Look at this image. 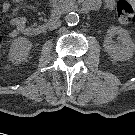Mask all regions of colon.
Instances as JSON below:
<instances>
[{
	"instance_id": "obj_1",
	"label": "colon",
	"mask_w": 135,
	"mask_h": 135,
	"mask_svg": "<svg viewBox=\"0 0 135 135\" xmlns=\"http://www.w3.org/2000/svg\"><path fill=\"white\" fill-rule=\"evenodd\" d=\"M117 17L123 24L135 23V9L126 0H119L116 4ZM2 48V39L0 37V50Z\"/></svg>"
}]
</instances>
